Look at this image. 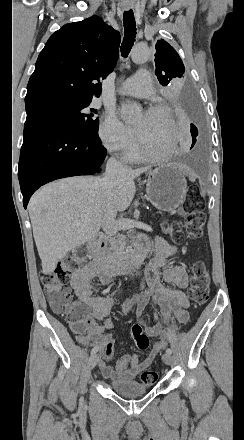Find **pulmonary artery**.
<instances>
[{
    "instance_id": "e3ab8cb5",
    "label": "pulmonary artery",
    "mask_w": 244,
    "mask_h": 440,
    "mask_svg": "<svg viewBox=\"0 0 244 440\" xmlns=\"http://www.w3.org/2000/svg\"><path fill=\"white\" fill-rule=\"evenodd\" d=\"M152 90V83L148 69H139L137 75H127L122 95H131L138 98H147Z\"/></svg>"
}]
</instances>
